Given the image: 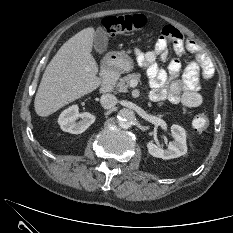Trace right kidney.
<instances>
[{
	"instance_id": "ca27d5eb",
	"label": "right kidney",
	"mask_w": 233,
	"mask_h": 233,
	"mask_svg": "<svg viewBox=\"0 0 233 233\" xmlns=\"http://www.w3.org/2000/svg\"><path fill=\"white\" fill-rule=\"evenodd\" d=\"M77 105H72L65 109L58 118L61 129L72 134H80L84 132L95 121V116L88 113H79ZM80 121L76 122L77 119Z\"/></svg>"
}]
</instances>
